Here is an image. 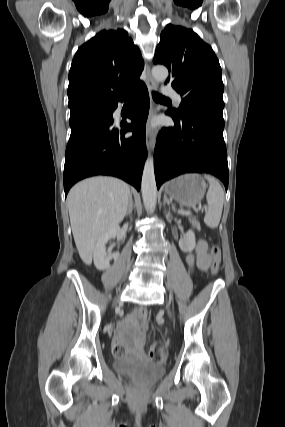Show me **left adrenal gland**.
I'll list each match as a JSON object with an SVG mask.
<instances>
[{
	"instance_id": "obj_1",
	"label": "left adrenal gland",
	"mask_w": 285,
	"mask_h": 427,
	"mask_svg": "<svg viewBox=\"0 0 285 427\" xmlns=\"http://www.w3.org/2000/svg\"><path fill=\"white\" fill-rule=\"evenodd\" d=\"M163 204H164V205H165V204H167L169 207H170V206H172L171 201H170V200H168V198H167V196H166V195H164V201H163ZM172 210H174L173 206H172Z\"/></svg>"
}]
</instances>
